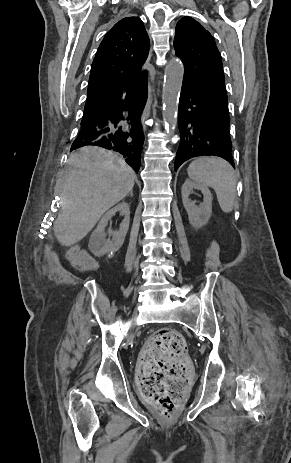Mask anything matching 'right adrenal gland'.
I'll return each instance as SVG.
<instances>
[{
	"mask_svg": "<svg viewBox=\"0 0 291 463\" xmlns=\"http://www.w3.org/2000/svg\"><path fill=\"white\" fill-rule=\"evenodd\" d=\"M130 196H133V191L131 190L130 193H129Z\"/></svg>",
	"mask_w": 291,
	"mask_h": 463,
	"instance_id": "right-adrenal-gland-1",
	"label": "right adrenal gland"
}]
</instances>
